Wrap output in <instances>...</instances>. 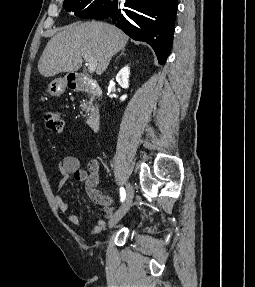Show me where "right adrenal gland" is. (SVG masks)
Segmentation results:
<instances>
[{"label": "right adrenal gland", "instance_id": "2a0ac1e0", "mask_svg": "<svg viewBox=\"0 0 255 287\" xmlns=\"http://www.w3.org/2000/svg\"><path fill=\"white\" fill-rule=\"evenodd\" d=\"M120 56H126V54H125V50H122V52H121ZM120 56H117V58H116L115 62H117V60H119Z\"/></svg>", "mask_w": 255, "mask_h": 287}]
</instances>
